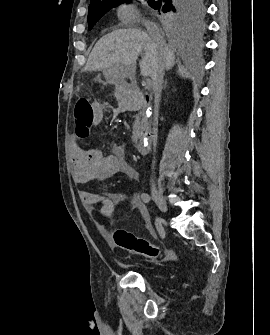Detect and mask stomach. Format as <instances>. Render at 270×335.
Returning a JSON list of instances; mask_svg holds the SVG:
<instances>
[{"label":"stomach","instance_id":"0dacf381","mask_svg":"<svg viewBox=\"0 0 270 335\" xmlns=\"http://www.w3.org/2000/svg\"><path fill=\"white\" fill-rule=\"evenodd\" d=\"M106 74H110V76H115V74H117V76H120V72H115L114 68H110V70H107Z\"/></svg>","mask_w":270,"mask_h":335}]
</instances>
